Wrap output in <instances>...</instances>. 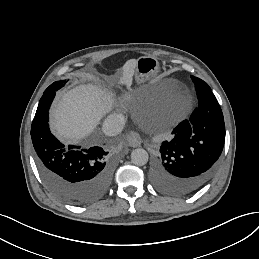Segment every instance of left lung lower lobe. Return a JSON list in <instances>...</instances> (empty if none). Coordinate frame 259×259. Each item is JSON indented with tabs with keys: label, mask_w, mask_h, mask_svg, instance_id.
Segmentation results:
<instances>
[{
	"label": "left lung lower lobe",
	"mask_w": 259,
	"mask_h": 259,
	"mask_svg": "<svg viewBox=\"0 0 259 259\" xmlns=\"http://www.w3.org/2000/svg\"><path fill=\"white\" fill-rule=\"evenodd\" d=\"M199 106L165 141L150 170L153 186L172 196H187L215 173L225 140L221 107L211 90L197 92Z\"/></svg>",
	"instance_id": "1"
}]
</instances>
